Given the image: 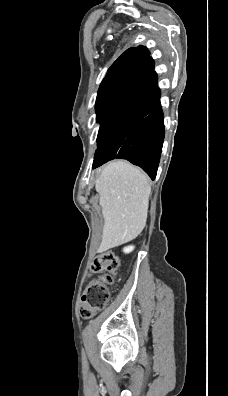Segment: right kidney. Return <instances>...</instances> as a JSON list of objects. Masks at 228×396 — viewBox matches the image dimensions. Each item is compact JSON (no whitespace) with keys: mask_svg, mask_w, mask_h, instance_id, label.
I'll return each instance as SVG.
<instances>
[{"mask_svg":"<svg viewBox=\"0 0 228 396\" xmlns=\"http://www.w3.org/2000/svg\"><path fill=\"white\" fill-rule=\"evenodd\" d=\"M133 249H134V246H128V247H125V248L123 249V251H124V253L127 254V253L132 252Z\"/></svg>","mask_w":228,"mask_h":396,"instance_id":"obj_1","label":"right kidney"}]
</instances>
